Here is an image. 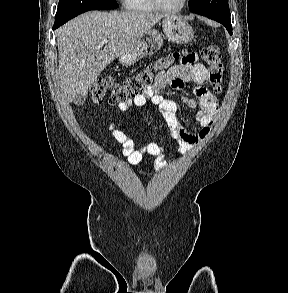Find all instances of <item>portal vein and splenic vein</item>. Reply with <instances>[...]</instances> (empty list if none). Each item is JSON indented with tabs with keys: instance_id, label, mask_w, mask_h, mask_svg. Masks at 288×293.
Listing matches in <instances>:
<instances>
[{
	"instance_id": "18ae733b",
	"label": "portal vein and splenic vein",
	"mask_w": 288,
	"mask_h": 293,
	"mask_svg": "<svg viewBox=\"0 0 288 293\" xmlns=\"http://www.w3.org/2000/svg\"><path fill=\"white\" fill-rule=\"evenodd\" d=\"M106 43H108V39H103L102 41H101V43H100V45L102 46V45H104V44H106Z\"/></svg>"
}]
</instances>
